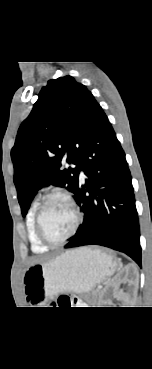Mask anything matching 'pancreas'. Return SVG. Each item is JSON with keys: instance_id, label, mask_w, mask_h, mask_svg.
Instances as JSON below:
<instances>
[{"instance_id": "pancreas-1", "label": "pancreas", "mask_w": 152, "mask_h": 369, "mask_svg": "<svg viewBox=\"0 0 152 369\" xmlns=\"http://www.w3.org/2000/svg\"><path fill=\"white\" fill-rule=\"evenodd\" d=\"M100 292L98 290H93L91 292V299L88 301L89 304H95L97 302L98 299V294Z\"/></svg>"}]
</instances>
